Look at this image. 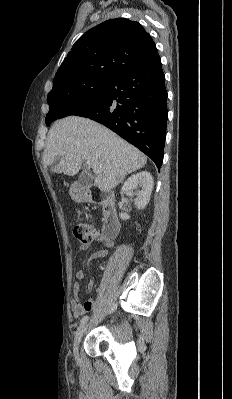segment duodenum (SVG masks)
<instances>
[{"instance_id": "410a0bca", "label": "duodenum", "mask_w": 232, "mask_h": 399, "mask_svg": "<svg viewBox=\"0 0 232 399\" xmlns=\"http://www.w3.org/2000/svg\"><path fill=\"white\" fill-rule=\"evenodd\" d=\"M78 196L85 202L98 204L102 207L104 216L103 236L107 239L115 238L120 231L115 197L110 191L100 190L95 186H83L78 189Z\"/></svg>"}]
</instances>
